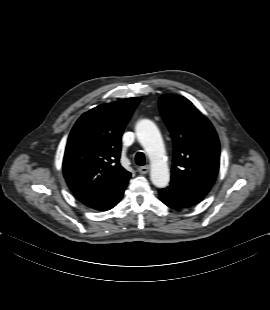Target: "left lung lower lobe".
Here are the masks:
<instances>
[{"label": "left lung lower lobe", "mask_w": 270, "mask_h": 310, "mask_svg": "<svg viewBox=\"0 0 270 310\" xmlns=\"http://www.w3.org/2000/svg\"><path fill=\"white\" fill-rule=\"evenodd\" d=\"M209 191V188L191 186L171 180L167 188L159 190V195L167 206L173 209H184L202 201Z\"/></svg>", "instance_id": "left-lung-lower-lobe-1"}]
</instances>
